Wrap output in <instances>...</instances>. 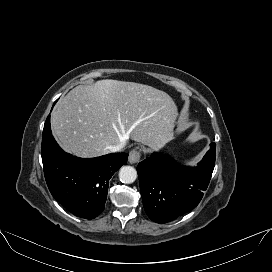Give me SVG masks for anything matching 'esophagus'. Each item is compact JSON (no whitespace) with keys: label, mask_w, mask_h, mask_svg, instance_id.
Returning <instances> with one entry per match:
<instances>
[{"label":"esophagus","mask_w":272,"mask_h":272,"mask_svg":"<svg viewBox=\"0 0 272 272\" xmlns=\"http://www.w3.org/2000/svg\"><path fill=\"white\" fill-rule=\"evenodd\" d=\"M128 160L131 164H135L140 160V151L137 149H133L130 153H129V157Z\"/></svg>","instance_id":"1"}]
</instances>
